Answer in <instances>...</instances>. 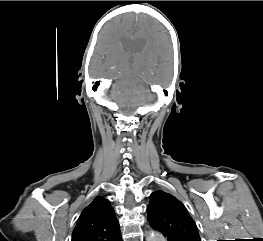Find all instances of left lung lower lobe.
Segmentation results:
<instances>
[{"instance_id":"left-lung-lower-lobe-1","label":"left lung lower lobe","mask_w":263,"mask_h":241,"mask_svg":"<svg viewBox=\"0 0 263 241\" xmlns=\"http://www.w3.org/2000/svg\"><path fill=\"white\" fill-rule=\"evenodd\" d=\"M152 228L155 229V230H157V231H160V232L164 235V237L166 238L167 241H180L179 239H177V238L174 237L173 235H171V234H169V233H166V232L160 230V229L157 228V227H153V226H152Z\"/></svg>"}]
</instances>
